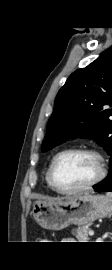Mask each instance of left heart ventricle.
Here are the masks:
<instances>
[{
	"mask_svg": "<svg viewBox=\"0 0 112 270\" xmlns=\"http://www.w3.org/2000/svg\"><path fill=\"white\" fill-rule=\"evenodd\" d=\"M98 173L97 160L88 154L70 153L56 163L54 176L57 184L64 189L83 186Z\"/></svg>",
	"mask_w": 112,
	"mask_h": 270,
	"instance_id": "1",
	"label": "left heart ventricle"
}]
</instances>
